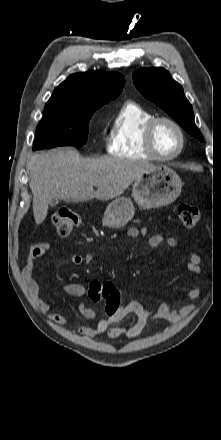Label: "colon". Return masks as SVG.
<instances>
[{
  "label": "colon",
  "instance_id": "colon-1",
  "mask_svg": "<svg viewBox=\"0 0 221 440\" xmlns=\"http://www.w3.org/2000/svg\"><path fill=\"white\" fill-rule=\"evenodd\" d=\"M178 217L186 228H194L200 221L199 210L192 206L183 204L178 207ZM53 224L59 236H68L81 223L80 215L69 208H60L55 211L52 217ZM88 297L93 302L104 300L102 319L104 321H111L113 315L119 314V307L121 305V298L118 288L111 281L90 282Z\"/></svg>",
  "mask_w": 221,
  "mask_h": 440
}]
</instances>
